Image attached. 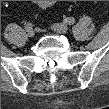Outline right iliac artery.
<instances>
[{
  "mask_svg": "<svg viewBox=\"0 0 109 109\" xmlns=\"http://www.w3.org/2000/svg\"><path fill=\"white\" fill-rule=\"evenodd\" d=\"M32 27H33L32 23H31V22H28V23L26 24V26H25V29H26V30H29V29H32Z\"/></svg>",
  "mask_w": 109,
  "mask_h": 109,
  "instance_id": "obj_1",
  "label": "right iliac artery"
}]
</instances>
